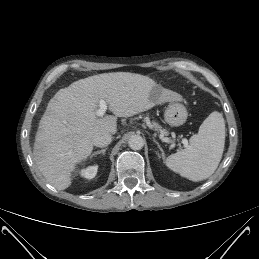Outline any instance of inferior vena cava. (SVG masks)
I'll list each match as a JSON object with an SVG mask.
<instances>
[{"instance_id":"inferior-vena-cava-1","label":"inferior vena cava","mask_w":259,"mask_h":259,"mask_svg":"<svg viewBox=\"0 0 259 259\" xmlns=\"http://www.w3.org/2000/svg\"><path fill=\"white\" fill-rule=\"evenodd\" d=\"M112 141V135L109 132H103L99 135H97L94 139H93V144L96 147H106L108 146Z\"/></svg>"}]
</instances>
